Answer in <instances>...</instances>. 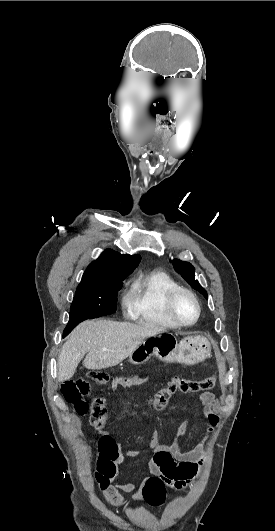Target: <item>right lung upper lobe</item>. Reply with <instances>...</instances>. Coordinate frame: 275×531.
<instances>
[{"label": "right lung upper lobe", "instance_id": "cb5924a9", "mask_svg": "<svg viewBox=\"0 0 275 531\" xmlns=\"http://www.w3.org/2000/svg\"><path fill=\"white\" fill-rule=\"evenodd\" d=\"M140 260L139 255H122L106 249L97 260L89 264L81 281L125 278Z\"/></svg>", "mask_w": 275, "mask_h": 531}]
</instances>
